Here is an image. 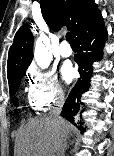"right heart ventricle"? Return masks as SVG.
<instances>
[{"instance_id": "obj_1", "label": "right heart ventricle", "mask_w": 114, "mask_h": 156, "mask_svg": "<svg viewBox=\"0 0 114 156\" xmlns=\"http://www.w3.org/2000/svg\"><path fill=\"white\" fill-rule=\"evenodd\" d=\"M30 105L32 106V107H34L32 104H31V102H30ZM35 108V107H34Z\"/></svg>"}]
</instances>
